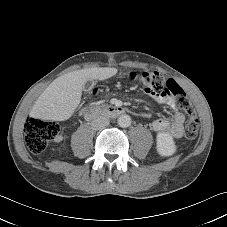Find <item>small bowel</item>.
Masks as SVG:
<instances>
[{"mask_svg":"<svg viewBox=\"0 0 227 227\" xmlns=\"http://www.w3.org/2000/svg\"><path fill=\"white\" fill-rule=\"evenodd\" d=\"M147 96H152L159 104L166 105L174 110L172 119L158 118L152 122V129L156 132H165L175 138H179L183 134V124L185 115L178 109L175 99L166 89H162L160 93L156 90L147 89L145 91ZM161 94V96H160ZM57 141L61 140V136L56 137Z\"/></svg>","mask_w":227,"mask_h":227,"instance_id":"1","label":"small bowel"}]
</instances>
